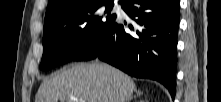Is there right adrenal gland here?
I'll return each mask as SVG.
<instances>
[{"instance_id":"right-adrenal-gland-1","label":"right adrenal gland","mask_w":221,"mask_h":102,"mask_svg":"<svg viewBox=\"0 0 221 102\" xmlns=\"http://www.w3.org/2000/svg\"><path fill=\"white\" fill-rule=\"evenodd\" d=\"M136 93H137V95H141V94H142V92H140V91H138V92H136ZM132 98H133V96H131L130 98H128L127 102H129L130 100H132Z\"/></svg>"}]
</instances>
